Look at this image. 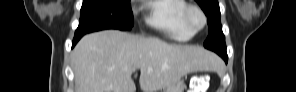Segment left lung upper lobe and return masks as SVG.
<instances>
[{"label":"left lung upper lobe","mask_w":296,"mask_h":92,"mask_svg":"<svg viewBox=\"0 0 296 92\" xmlns=\"http://www.w3.org/2000/svg\"><path fill=\"white\" fill-rule=\"evenodd\" d=\"M207 16L209 35L204 43L205 48L216 53L225 52V36L220 22V8L218 0H196Z\"/></svg>","instance_id":"obj_1"}]
</instances>
